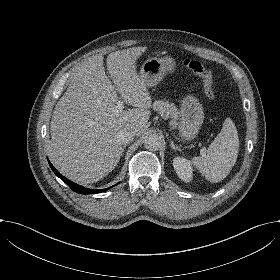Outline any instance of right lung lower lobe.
Masks as SVG:
<instances>
[{"mask_svg":"<svg viewBox=\"0 0 280 280\" xmlns=\"http://www.w3.org/2000/svg\"><path fill=\"white\" fill-rule=\"evenodd\" d=\"M49 162V161H48ZM49 165L51 167V169L53 170V172L61 179L63 180L73 191H75L76 193H79V194H94V193H99V192H104L108 189H110L111 187L109 188H105V189H100V190H97V189H88V188H85V187H82L78 184H75L73 183L72 181H70L69 179L65 178L64 176H62L54 167L53 165L49 162ZM113 187V186H112Z\"/></svg>","mask_w":280,"mask_h":280,"instance_id":"right-lung-lower-lobe-1","label":"right lung lower lobe"}]
</instances>
